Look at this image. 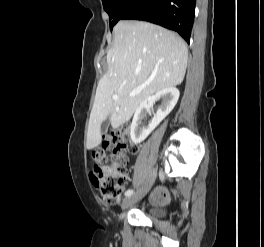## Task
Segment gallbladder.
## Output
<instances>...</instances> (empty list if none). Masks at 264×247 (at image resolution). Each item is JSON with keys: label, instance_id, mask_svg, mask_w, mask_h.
<instances>
[{"label": "gallbladder", "instance_id": "1", "mask_svg": "<svg viewBox=\"0 0 264 247\" xmlns=\"http://www.w3.org/2000/svg\"><path fill=\"white\" fill-rule=\"evenodd\" d=\"M107 118H110V117H107ZM109 124H110V119L103 120L99 132L100 133H106L107 127L109 126Z\"/></svg>", "mask_w": 264, "mask_h": 247}]
</instances>
